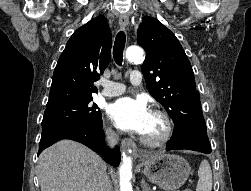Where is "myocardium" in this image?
I'll return each mask as SVG.
<instances>
[{
    "instance_id": "myocardium-1",
    "label": "myocardium",
    "mask_w": 251,
    "mask_h": 191,
    "mask_svg": "<svg viewBox=\"0 0 251 191\" xmlns=\"http://www.w3.org/2000/svg\"><path fill=\"white\" fill-rule=\"evenodd\" d=\"M151 116L162 123V132L157 138H150L142 133L140 140L143 144L150 147L162 146L171 138L173 132L172 121L166 113L160 110L152 111Z\"/></svg>"
}]
</instances>
